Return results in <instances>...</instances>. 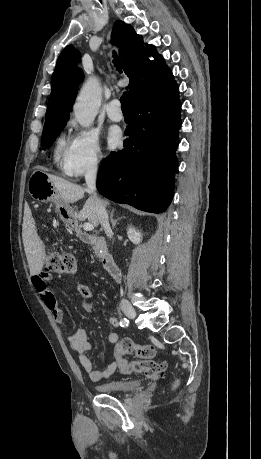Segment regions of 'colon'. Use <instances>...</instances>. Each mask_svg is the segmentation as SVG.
Wrapping results in <instances>:
<instances>
[{"label":"colon","instance_id":"1","mask_svg":"<svg viewBox=\"0 0 261 459\" xmlns=\"http://www.w3.org/2000/svg\"><path fill=\"white\" fill-rule=\"evenodd\" d=\"M47 268L56 273H75L77 263L70 253L52 254L47 260ZM118 368L123 374L144 373L148 378L157 380L166 370V364L155 360L156 350L151 345H138L130 338H123L115 346ZM135 354L139 360L127 361L124 356ZM177 383L175 384V387Z\"/></svg>","mask_w":261,"mask_h":459}]
</instances>
